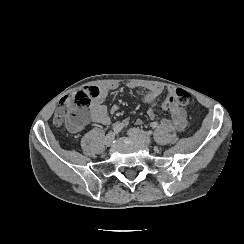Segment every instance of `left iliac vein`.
I'll return each mask as SVG.
<instances>
[{
  "label": "left iliac vein",
  "mask_w": 244,
  "mask_h": 244,
  "mask_svg": "<svg viewBox=\"0 0 244 244\" xmlns=\"http://www.w3.org/2000/svg\"><path fill=\"white\" fill-rule=\"evenodd\" d=\"M128 135L133 139L139 140L145 146L151 145V138L142 130L138 128H131L128 130Z\"/></svg>",
  "instance_id": "obj_1"
}]
</instances>
